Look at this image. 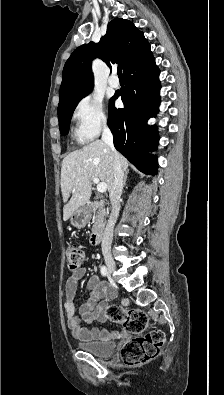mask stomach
Masks as SVG:
<instances>
[{"mask_svg": "<svg viewBox=\"0 0 224 395\" xmlns=\"http://www.w3.org/2000/svg\"><path fill=\"white\" fill-rule=\"evenodd\" d=\"M90 220V210L87 206L78 208L70 217L72 226L83 228Z\"/></svg>", "mask_w": 224, "mask_h": 395, "instance_id": "1", "label": "stomach"}]
</instances>
